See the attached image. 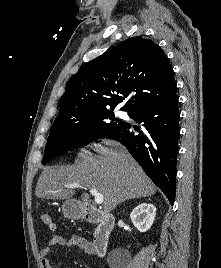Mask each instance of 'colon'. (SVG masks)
<instances>
[{
    "mask_svg": "<svg viewBox=\"0 0 221 268\" xmlns=\"http://www.w3.org/2000/svg\"><path fill=\"white\" fill-rule=\"evenodd\" d=\"M40 219L43 222L45 226H47L49 229L54 230L55 229V223L53 222L50 214L46 211H42L40 213Z\"/></svg>",
    "mask_w": 221,
    "mask_h": 268,
    "instance_id": "5ec220e1",
    "label": "colon"
}]
</instances>
